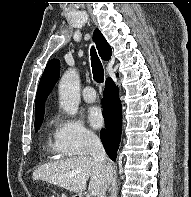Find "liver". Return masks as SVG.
<instances>
[{
	"label": "liver",
	"instance_id": "1",
	"mask_svg": "<svg viewBox=\"0 0 191 197\" xmlns=\"http://www.w3.org/2000/svg\"><path fill=\"white\" fill-rule=\"evenodd\" d=\"M107 174H109L108 179ZM112 174L111 164L107 171L105 166L93 157L78 156L38 167L33 172V179H40L81 195L86 189V182L90 177L88 191L92 196H97L103 184L110 180Z\"/></svg>",
	"mask_w": 191,
	"mask_h": 197
}]
</instances>
